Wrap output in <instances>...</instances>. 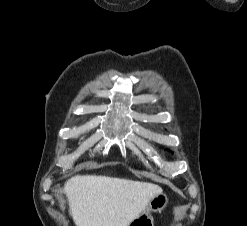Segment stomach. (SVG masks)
<instances>
[{
    "mask_svg": "<svg viewBox=\"0 0 247 226\" xmlns=\"http://www.w3.org/2000/svg\"><path fill=\"white\" fill-rule=\"evenodd\" d=\"M168 204V196L161 191L153 196L147 208L138 215L128 226H154L151 212H161Z\"/></svg>",
    "mask_w": 247,
    "mask_h": 226,
    "instance_id": "0dacf381",
    "label": "stomach"
}]
</instances>
